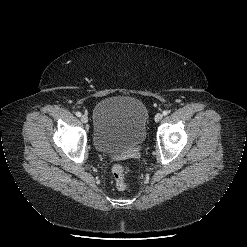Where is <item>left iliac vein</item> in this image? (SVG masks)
<instances>
[{
	"mask_svg": "<svg viewBox=\"0 0 247 247\" xmlns=\"http://www.w3.org/2000/svg\"><path fill=\"white\" fill-rule=\"evenodd\" d=\"M162 118H163V115H162L161 113H157V114L155 115V121H156V122L161 121Z\"/></svg>",
	"mask_w": 247,
	"mask_h": 247,
	"instance_id": "left-iliac-vein-1",
	"label": "left iliac vein"
}]
</instances>
